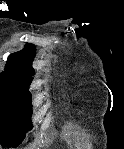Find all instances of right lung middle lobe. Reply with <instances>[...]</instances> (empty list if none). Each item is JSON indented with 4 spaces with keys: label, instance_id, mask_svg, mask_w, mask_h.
I'll return each instance as SVG.
<instances>
[{
    "label": "right lung middle lobe",
    "instance_id": "1",
    "mask_svg": "<svg viewBox=\"0 0 124 149\" xmlns=\"http://www.w3.org/2000/svg\"><path fill=\"white\" fill-rule=\"evenodd\" d=\"M31 93L28 89L8 85L0 81V143L5 147H17L25 138L31 123Z\"/></svg>",
    "mask_w": 124,
    "mask_h": 149
}]
</instances>
